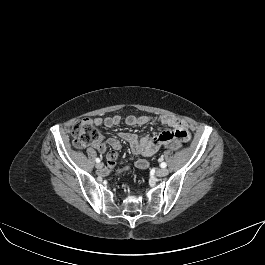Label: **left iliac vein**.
Instances as JSON below:
<instances>
[{
    "label": "left iliac vein",
    "instance_id": "4c4485c4",
    "mask_svg": "<svg viewBox=\"0 0 265 265\" xmlns=\"http://www.w3.org/2000/svg\"><path fill=\"white\" fill-rule=\"evenodd\" d=\"M168 174V169H166V168H160V169H158L157 171H156V175L158 176V177H164V176H166Z\"/></svg>",
    "mask_w": 265,
    "mask_h": 265
}]
</instances>
